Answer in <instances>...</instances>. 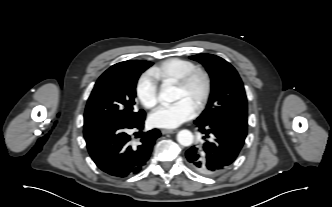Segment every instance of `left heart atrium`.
Listing matches in <instances>:
<instances>
[{"label": "left heart atrium", "mask_w": 332, "mask_h": 207, "mask_svg": "<svg viewBox=\"0 0 332 207\" xmlns=\"http://www.w3.org/2000/svg\"><path fill=\"white\" fill-rule=\"evenodd\" d=\"M195 113V106L186 99H181L158 107L151 113L149 120L155 127L173 129L192 119Z\"/></svg>", "instance_id": "left-heart-atrium-1"}]
</instances>
